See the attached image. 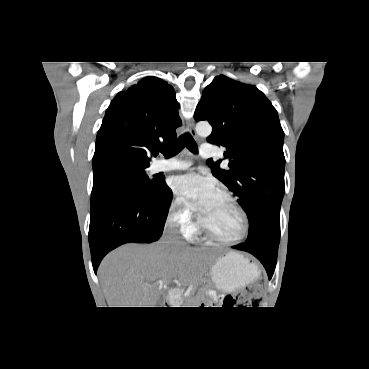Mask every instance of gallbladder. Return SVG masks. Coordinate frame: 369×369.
Returning <instances> with one entry per match:
<instances>
[{"mask_svg": "<svg viewBox=\"0 0 369 369\" xmlns=\"http://www.w3.org/2000/svg\"><path fill=\"white\" fill-rule=\"evenodd\" d=\"M159 301H160V302H162V301H163V298H162V297H160V298H159Z\"/></svg>", "mask_w": 369, "mask_h": 369, "instance_id": "obj_1", "label": "gallbladder"}]
</instances>
